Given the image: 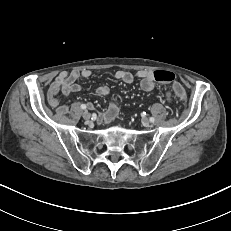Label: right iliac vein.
I'll return each instance as SVG.
<instances>
[{
  "mask_svg": "<svg viewBox=\"0 0 231 231\" xmlns=\"http://www.w3.org/2000/svg\"><path fill=\"white\" fill-rule=\"evenodd\" d=\"M82 117L85 119V120H89L91 115L88 111H84L83 114H82Z\"/></svg>",
  "mask_w": 231,
  "mask_h": 231,
  "instance_id": "obj_1",
  "label": "right iliac vein"
}]
</instances>
